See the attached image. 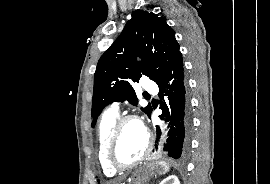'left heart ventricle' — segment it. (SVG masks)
I'll list each match as a JSON object with an SVG mask.
<instances>
[{
    "instance_id": "left-heart-ventricle-1",
    "label": "left heart ventricle",
    "mask_w": 270,
    "mask_h": 184,
    "mask_svg": "<svg viewBox=\"0 0 270 184\" xmlns=\"http://www.w3.org/2000/svg\"><path fill=\"white\" fill-rule=\"evenodd\" d=\"M147 136L144 128L138 122H128L124 125L115 152L116 160L126 164L138 159L145 151Z\"/></svg>"
}]
</instances>
